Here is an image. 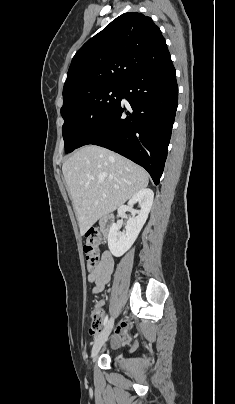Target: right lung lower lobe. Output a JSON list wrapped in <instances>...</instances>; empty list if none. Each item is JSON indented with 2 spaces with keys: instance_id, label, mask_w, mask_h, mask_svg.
<instances>
[{
  "instance_id": "right-lung-lower-lobe-1",
  "label": "right lung lower lobe",
  "mask_w": 235,
  "mask_h": 404,
  "mask_svg": "<svg viewBox=\"0 0 235 404\" xmlns=\"http://www.w3.org/2000/svg\"><path fill=\"white\" fill-rule=\"evenodd\" d=\"M122 99L127 100L124 104ZM122 99L79 144L105 147L144 167L159 184L178 104L171 57L122 84Z\"/></svg>"
}]
</instances>
